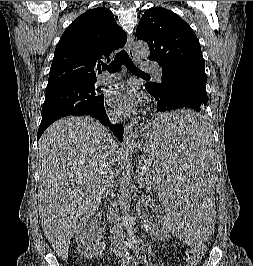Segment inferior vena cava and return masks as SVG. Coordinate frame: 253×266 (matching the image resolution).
Segmentation results:
<instances>
[{
  "label": "inferior vena cava",
  "instance_id": "1",
  "mask_svg": "<svg viewBox=\"0 0 253 266\" xmlns=\"http://www.w3.org/2000/svg\"><path fill=\"white\" fill-rule=\"evenodd\" d=\"M111 121L113 123H116L119 121L117 116H114L111 114ZM110 176H107L106 181L104 183V197L108 198L111 200V197L113 196V181H112V176L113 173L110 171ZM111 202V208H110V223H111V234L112 238L114 240V252L116 256L125 258V252L122 248V238H123V232L118 226V213L117 209L114 207V204L112 201Z\"/></svg>",
  "mask_w": 253,
  "mask_h": 266
}]
</instances>
